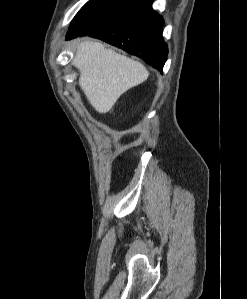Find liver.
Returning a JSON list of instances; mask_svg holds the SVG:
<instances>
[{
	"label": "liver",
	"instance_id": "1",
	"mask_svg": "<svg viewBox=\"0 0 247 299\" xmlns=\"http://www.w3.org/2000/svg\"><path fill=\"white\" fill-rule=\"evenodd\" d=\"M73 65L80 71L82 91L99 113L108 112L123 93L146 81L149 75L140 62L88 40L77 45Z\"/></svg>",
	"mask_w": 247,
	"mask_h": 299
}]
</instances>
